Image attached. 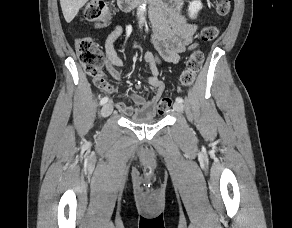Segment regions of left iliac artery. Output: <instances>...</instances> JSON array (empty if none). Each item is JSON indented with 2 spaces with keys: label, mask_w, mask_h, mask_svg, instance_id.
I'll return each instance as SVG.
<instances>
[{
  "label": "left iliac artery",
  "mask_w": 292,
  "mask_h": 228,
  "mask_svg": "<svg viewBox=\"0 0 292 228\" xmlns=\"http://www.w3.org/2000/svg\"><path fill=\"white\" fill-rule=\"evenodd\" d=\"M176 102H181L182 103L183 102V98L182 97H177L176 98Z\"/></svg>",
  "instance_id": "44dca946"
}]
</instances>
